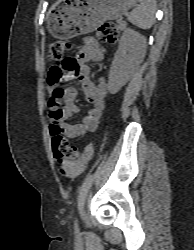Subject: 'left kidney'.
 I'll use <instances>...</instances> for the list:
<instances>
[{
  "instance_id": "left-kidney-1",
  "label": "left kidney",
  "mask_w": 194,
  "mask_h": 250,
  "mask_svg": "<svg viewBox=\"0 0 194 250\" xmlns=\"http://www.w3.org/2000/svg\"><path fill=\"white\" fill-rule=\"evenodd\" d=\"M146 38L133 29H126L119 41L109 76V90L120 89L139 68L146 54Z\"/></svg>"
}]
</instances>
